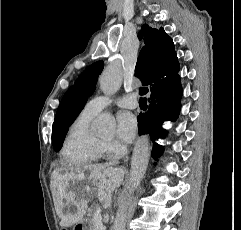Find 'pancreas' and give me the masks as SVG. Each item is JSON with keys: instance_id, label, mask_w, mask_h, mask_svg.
Returning a JSON list of instances; mask_svg holds the SVG:
<instances>
[{"instance_id": "1", "label": "pancreas", "mask_w": 241, "mask_h": 230, "mask_svg": "<svg viewBox=\"0 0 241 230\" xmlns=\"http://www.w3.org/2000/svg\"><path fill=\"white\" fill-rule=\"evenodd\" d=\"M88 221L92 223V230H100L93 221V218H88Z\"/></svg>"}]
</instances>
